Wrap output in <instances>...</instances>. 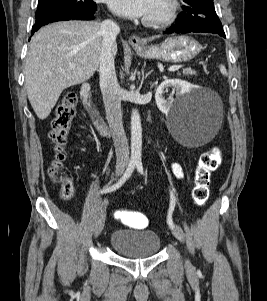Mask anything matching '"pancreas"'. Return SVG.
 <instances>
[{"mask_svg":"<svg viewBox=\"0 0 267 301\" xmlns=\"http://www.w3.org/2000/svg\"><path fill=\"white\" fill-rule=\"evenodd\" d=\"M183 75H186V76H193V75H196V72L192 69H183Z\"/></svg>","mask_w":267,"mask_h":301,"instance_id":"1","label":"pancreas"}]
</instances>
